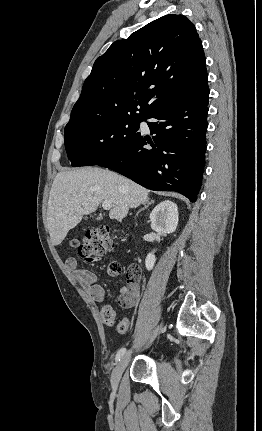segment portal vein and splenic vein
Listing matches in <instances>:
<instances>
[{"label":"portal vein and splenic vein","mask_w":262,"mask_h":431,"mask_svg":"<svg viewBox=\"0 0 262 431\" xmlns=\"http://www.w3.org/2000/svg\"><path fill=\"white\" fill-rule=\"evenodd\" d=\"M102 207H103V209H105V210H109V209H111L112 204H111L109 201H103V202H102Z\"/></svg>","instance_id":"obj_1"}]
</instances>
